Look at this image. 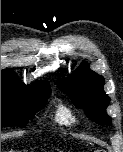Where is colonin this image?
Wrapping results in <instances>:
<instances>
[{"instance_id":"1","label":"colon","mask_w":123,"mask_h":152,"mask_svg":"<svg viewBox=\"0 0 123 152\" xmlns=\"http://www.w3.org/2000/svg\"><path fill=\"white\" fill-rule=\"evenodd\" d=\"M93 152H106V151L103 150V149H96V150H94Z\"/></svg>"}]
</instances>
